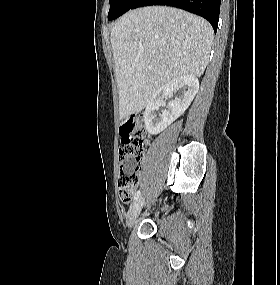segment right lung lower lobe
<instances>
[{
	"label": "right lung lower lobe",
	"instance_id": "right-lung-lower-lobe-1",
	"mask_svg": "<svg viewBox=\"0 0 280 285\" xmlns=\"http://www.w3.org/2000/svg\"><path fill=\"white\" fill-rule=\"evenodd\" d=\"M220 3L221 0H137L131 9L150 5H167L181 8L207 19L214 32H216Z\"/></svg>",
	"mask_w": 280,
	"mask_h": 285
}]
</instances>
